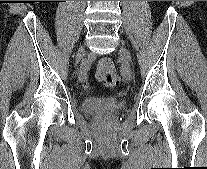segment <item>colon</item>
<instances>
[{
	"label": "colon",
	"instance_id": "1",
	"mask_svg": "<svg viewBox=\"0 0 207 169\" xmlns=\"http://www.w3.org/2000/svg\"><path fill=\"white\" fill-rule=\"evenodd\" d=\"M96 78L110 89H118L121 84L120 77L114 63L108 58H101L96 68Z\"/></svg>",
	"mask_w": 207,
	"mask_h": 169
}]
</instances>
